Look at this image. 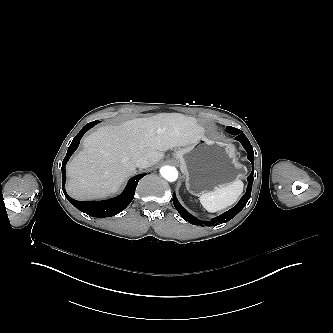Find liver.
<instances>
[{"label":"liver","mask_w":333,"mask_h":333,"mask_svg":"<svg viewBox=\"0 0 333 333\" xmlns=\"http://www.w3.org/2000/svg\"><path fill=\"white\" fill-rule=\"evenodd\" d=\"M205 133L195 117L180 113L100 127L83 139V150L67 164V192L78 200L114 194L135 172L138 158L147 157L152 166L165 151L196 143Z\"/></svg>","instance_id":"obj_1"}]
</instances>
